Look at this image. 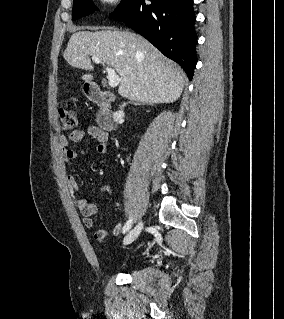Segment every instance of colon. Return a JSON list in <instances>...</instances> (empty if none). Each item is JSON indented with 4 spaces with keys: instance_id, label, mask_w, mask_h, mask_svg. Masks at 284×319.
Masks as SVG:
<instances>
[{
    "instance_id": "obj_1",
    "label": "colon",
    "mask_w": 284,
    "mask_h": 319,
    "mask_svg": "<svg viewBox=\"0 0 284 319\" xmlns=\"http://www.w3.org/2000/svg\"><path fill=\"white\" fill-rule=\"evenodd\" d=\"M58 115L64 131L71 130L77 125V115L74 109L62 105L58 108Z\"/></svg>"
}]
</instances>
